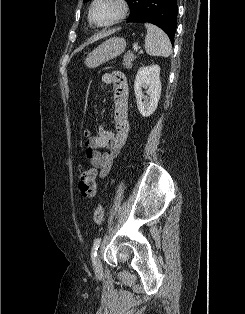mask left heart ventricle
Segmentation results:
<instances>
[{
    "label": "left heart ventricle",
    "instance_id": "obj_1",
    "mask_svg": "<svg viewBox=\"0 0 245 314\" xmlns=\"http://www.w3.org/2000/svg\"><path fill=\"white\" fill-rule=\"evenodd\" d=\"M118 12V6L113 0H101L98 2L92 13L96 23H106L113 19Z\"/></svg>",
    "mask_w": 245,
    "mask_h": 314
}]
</instances>
